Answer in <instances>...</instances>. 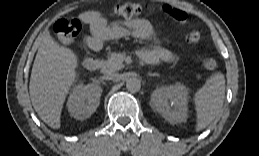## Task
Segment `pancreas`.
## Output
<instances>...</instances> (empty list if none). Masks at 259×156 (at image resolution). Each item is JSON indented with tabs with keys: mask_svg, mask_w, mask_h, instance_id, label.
I'll use <instances>...</instances> for the list:
<instances>
[{
	"mask_svg": "<svg viewBox=\"0 0 259 156\" xmlns=\"http://www.w3.org/2000/svg\"><path fill=\"white\" fill-rule=\"evenodd\" d=\"M123 61H124L123 54L112 52L109 54L107 60L102 62L101 70L104 73L115 72L124 67Z\"/></svg>",
	"mask_w": 259,
	"mask_h": 156,
	"instance_id": "1",
	"label": "pancreas"
}]
</instances>
